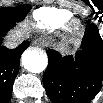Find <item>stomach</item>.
Masks as SVG:
<instances>
[{"label":"stomach","instance_id":"obj_1","mask_svg":"<svg viewBox=\"0 0 103 103\" xmlns=\"http://www.w3.org/2000/svg\"><path fill=\"white\" fill-rule=\"evenodd\" d=\"M59 50H60L61 52H66V51H67V48L65 47V45H60Z\"/></svg>","mask_w":103,"mask_h":103}]
</instances>
